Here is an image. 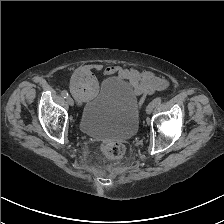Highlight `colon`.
Masks as SVG:
<instances>
[{
	"mask_svg": "<svg viewBox=\"0 0 224 224\" xmlns=\"http://www.w3.org/2000/svg\"><path fill=\"white\" fill-rule=\"evenodd\" d=\"M70 89L81 100L94 97L98 91V82L92 70L84 67L77 69L72 76ZM101 151L108 158H119L125 149L121 142L105 141L101 145Z\"/></svg>",
	"mask_w": 224,
	"mask_h": 224,
	"instance_id": "1",
	"label": "colon"
}]
</instances>
